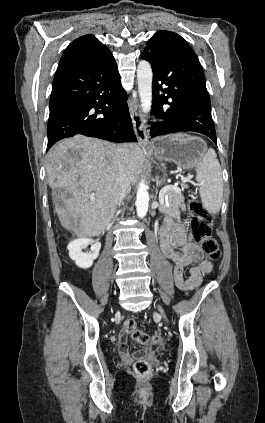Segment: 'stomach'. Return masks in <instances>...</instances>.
I'll list each match as a JSON object with an SVG mask.
<instances>
[{
  "instance_id": "obj_1",
  "label": "stomach",
  "mask_w": 265,
  "mask_h": 423,
  "mask_svg": "<svg viewBox=\"0 0 265 423\" xmlns=\"http://www.w3.org/2000/svg\"><path fill=\"white\" fill-rule=\"evenodd\" d=\"M153 152L158 160L172 161L184 169H192L207 152V145L195 136H165L157 139Z\"/></svg>"
}]
</instances>
